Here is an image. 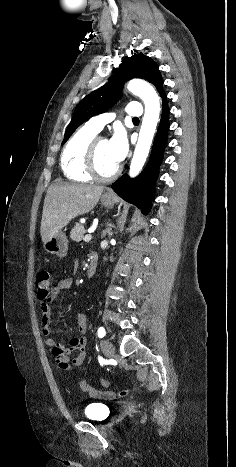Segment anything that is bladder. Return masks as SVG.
Here are the masks:
<instances>
[{"label": "bladder", "mask_w": 236, "mask_h": 467, "mask_svg": "<svg viewBox=\"0 0 236 467\" xmlns=\"http://www.w3.org/2000/svg\"><path fill=\"white\" fill-rule=\"evenodd\" d=\"M109 412L110 408L107 404L92 402L85 407L83 414L90 421H102Z\"/></svg>", "instance_id": "bladder-1"}]
</instances>
